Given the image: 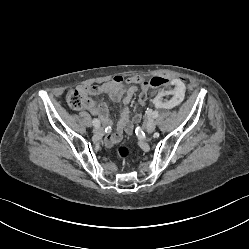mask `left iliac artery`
I'll return each mask as SVG.
<instances>
[{
    "mask_svg": "<svg viewBox=\"0 0 249 249\" xmlns=\"http://www.w3.org/2000/svg\"><path fill=\"white\" fill-rule=\"evenodd\" d=\"M150 113V115L153 117V118H157L158 117V115H159V113H158V111H153V112H149Z\"/></svg>",
    "mask_w": 249,
    "mask_h": 249,
    "instance_id": "obj_1",
    "label": "left iliac artery"
}]
</instances>
